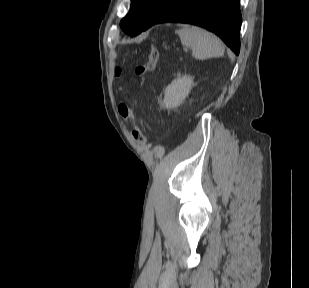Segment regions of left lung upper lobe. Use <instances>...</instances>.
I'll return each mask as SVG.
<instances>
[{"label":"left lung upper lobe","instance_id":"left-lung-upper-lobe-1","mask_svg":"<svg viewBox=\"0 0 309 288\" xmlns=\"http://www.w3.org/2000/svg\"><path fill=\"white\" fill-rule=\"evenodd\" d=\"M163 0H131L129 13L121 20L120 27L129 34L137 33Z\"/></svg>","mask_w":309,"mask_h":288}]
</instances>
